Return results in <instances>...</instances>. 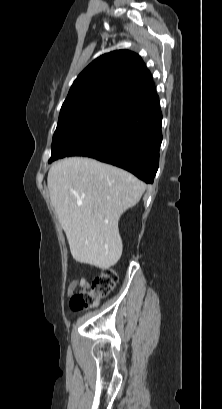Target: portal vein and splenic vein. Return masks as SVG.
Returning <instances> with one entry per match:
<instances>
[{
    "label": "portal vein and splenic vein",
    "instance_id": "obj_1",
    "mask_svg": "<svg viewBox=\"0 0 222 409\" xmlns=\"http://www.w3.org/2000/svg\"><path fill=\"white\" fill-rule=\"evenodd\" d=\"M77 204L80 206V205L82 204V202H81V201H78Z\"/></svg>",
    "mask_w": 222,
    "mask_h": 409
}]
</instances>
